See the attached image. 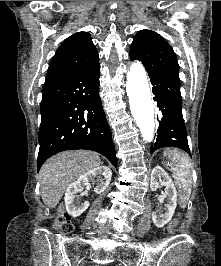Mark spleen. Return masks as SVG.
<instances>
[{
  "instance_id": "spleen-1",
  "label": "spleen",
  "mask_w": 221,
  "mask_h": 266,
  "mask_svg": "<svg viewBox=\"0 0 221 266\" xmlns=\"http://www.w3.org/2000/svg\"><path fill=\"white\" fill-rule=\"evenodd\" d=\"M164 155L171 159V163H167L166 165L173 169V178L179 189L181 202L185 204L191 195L192 164L188 155L178 149H167Z\"/></svg>"
}]
</instances>
